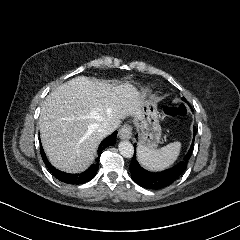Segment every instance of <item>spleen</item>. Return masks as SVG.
I'll return each mask as SVG.
<instances>
[{
	"label": "spleen",
	"mask_w": 240,
	"mask_h": 240,
	"mask_svg": "<svg viewBox=\"0 0 240 240\" xmlns=\"http://www.w3.org/2000/svg\"><path fill=\"white\" fill-rule=\"evenodd\" d=\"M181 152L182 143L176 141L155 150L137 147L136 158L142 168L158 173L170 169L177 162Z\"/></svg>",
	"instance_id": "1"
}]
</instances>
